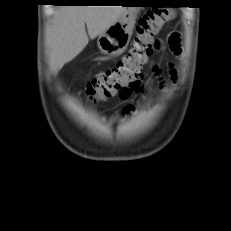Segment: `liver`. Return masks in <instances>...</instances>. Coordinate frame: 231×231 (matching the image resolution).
I'll return each mask as SVG.
<instances>
[{"label": "liver", "mask_w": 231, "mask_h": 231, "mask_svg": "<svg viewBox=\"0 0 231 231\" xmlns=\"http://www.w3.org/2000/svg\"><path fill=\"white\" fill-rule=\"evenodd\" d=\"M129 8L84 5L59 7L47 39L51 70L58 72L64 64L83 51L89 42L88 35L94 39L113 25Z\"/></svg>", "instance_id": "6515ba94"}]
</instances>
